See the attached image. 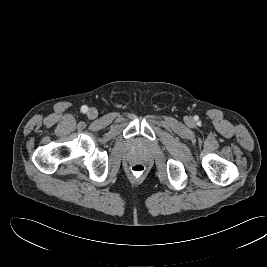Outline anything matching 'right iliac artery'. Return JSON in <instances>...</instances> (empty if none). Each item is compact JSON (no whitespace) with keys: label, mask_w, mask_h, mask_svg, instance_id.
<instances>
[{"label":"right iliac artery","mask_w":267,"mask_h":267,"mask_svg":"<svg viewBox=\"0 0 267 267\" xmlns=\"http://www.w3.org/2000/svg\"><path fill=\"white\" fill-rule=\"evenodd\" d=\"M88 111V107L86 106V105H83L82 107H81V112L82 113H86Z\"/></svg>","instance_id":"1"}]
</instances>
